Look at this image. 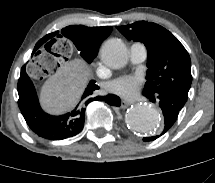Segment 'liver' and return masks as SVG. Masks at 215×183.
Masks as SVG:
<instances>
[{"instance_id":"1","label":"liver","mask_w":215,"mask_h":183,"mask_svg":"<svg viewBox=\"0 0 215 183\" xmlns=\"http://www.w3.org/2000/svg\"><path fill=\"white\" fill-rule=\"evenodd\" d=\"M90 70L82 59L66 62L42 86L40 102L49 113L71 110L87 86Z\"/></svg>"}]
</instances>
